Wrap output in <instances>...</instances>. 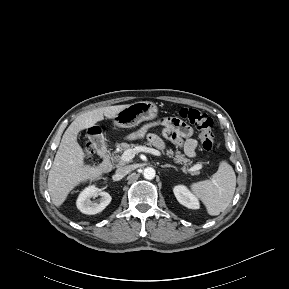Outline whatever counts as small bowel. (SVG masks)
I'll list each match as a JSON object with an SVG mask.
<instances>
[{
  "label": "small bowel",
  "mask_w": 289,
  "mask_h": 289,
  "mask_svg": "<svg viewBox=\"0 0 289 289\" xmlns=\"http://www.w3.org/2000/svg\"><path fill=\"white\" fill-rule=\"evenodd\" d=\"M149 128L150 126L143 127L139 131V135L146 136L150 142L158 147H163L162 141L156 135L149 133ZM191 134V129L178 119L172 118L163 122V135L173 143L183 146L187 156L194 157L197 141L191 137Z\"/></svg>",
  "instance_id": "obj_1"
}]
</instances>
